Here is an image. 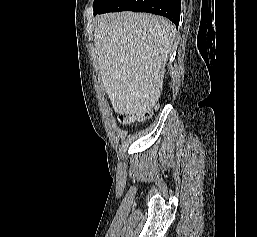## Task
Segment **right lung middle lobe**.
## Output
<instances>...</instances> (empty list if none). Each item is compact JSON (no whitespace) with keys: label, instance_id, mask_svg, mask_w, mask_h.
I'll use <instances>...</instances> for the list:
<instances>
[{"label":"right lung middle lobe","instance_id":"1","mask_svg":"<svg viewBox=\"0 0 257 237\" xmlns=\"http://www.w3.org/2000/svg\"><path fill=\"white\" fill-rule=\"evenodd\" d=\"M111 0H94V9L102 8L107 3H109Z\"/></svg>","mask_w":257,"mask_h":237}]
</instances>
